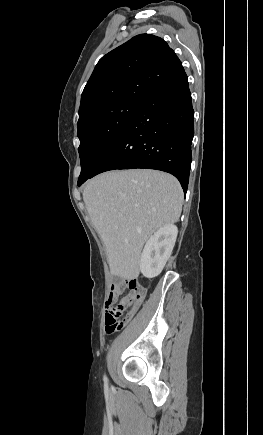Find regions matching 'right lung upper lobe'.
I'll return each mask as SVG.
<instances>
[{
  "mask_svg": "<svg viewBox=\"0 0 263 435\" xmlns=\"http://www.w3.org/2000/svg\"><path fill=\"white\" fill-rule=\"evenodd\" d=\"M183 69L160 37L140 34L103 56L82 96L77 126L94 109L119 100L145 101Z\"/></svg>",
  "mask_w": 263,
  "mask_h": 435,
  "instance_id": "1",
  "label": "right lung upper lobe"
}]
</instances>
